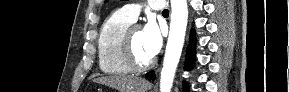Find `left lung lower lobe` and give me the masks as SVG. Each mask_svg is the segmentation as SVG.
<instances>
[{"instance_id": "1", "label": "left lung lower lobe", "mask_w": 289, "mask_h": 92, "mask_svg": "<svg viewBox=\"0 0 289 92\" xmlns=\"http://www.w3.org/2000/svg\"><path fill=\"white\" fill-rule=\"evenodd\" d=\"M192 36L194 35V32H191ZM195 39L192 38V44L191 46L187 49V56H186V63H185V70H190L192 69L193 65H194V52H195ZM146 77L149 79H155L154 76V71H150L146 74ZM183 89L186 92L188 89V84L184 83L183 84Z\"/></svg>"}]
</instances>
